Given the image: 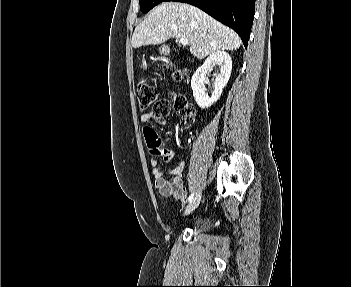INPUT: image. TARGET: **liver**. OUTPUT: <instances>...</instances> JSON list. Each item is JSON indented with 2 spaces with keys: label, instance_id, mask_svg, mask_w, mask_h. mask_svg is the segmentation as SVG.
Returning a JSON list of instances; mask_svg holds the SVG:
<instances>
[{
  "label": "liver",
  "instance_id": "6515ba94",
  "mask_svg": "<svg viewBox=\"0 0 351 287\" xmlns=\"http://www.w3.org/2000/svg\"><path fill=\"white\" fill-rule=\"evenodd\" d=\"M170 38H186L190 53L204 58L216 51L236 50L239 35L197 7L180 2L156 6L140 23L132 36L133 48L158 45Z\"/></svg>",
  "mask_w": 351,
  "mask_h": 287
}]
</instances>
